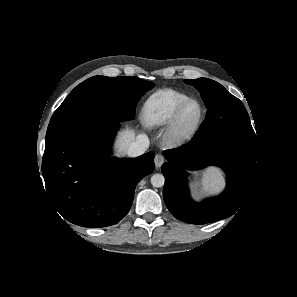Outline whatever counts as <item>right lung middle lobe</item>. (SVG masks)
I'll return each instance as SVG.
<instances>
[{"label": "right lung middle lobe", "instance_id": "obj_1", "mask_svg": "<svg viewBox=\"0 0 297 297\" xmlns=\"http://www.w3.org/2000/svg\"><path fill=\"white\" fill-rule=\"evenodd\" d=\"M153 87L138 77L94 76L83 81L54 112L45 147L92 125L133 119L138 100Z\"/></svg>", "mask_w": 297, "mask_h": 297}]
</instances>
